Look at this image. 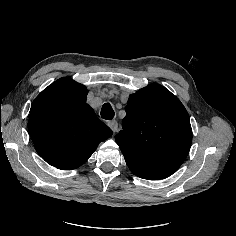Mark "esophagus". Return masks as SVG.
Here are the masks:
<instances>
[{"label":"esophagus","instance_id":"obj_1","mask_svg":"<svg viewBox=\"0 0 236 236\" xmlns=\"http://www.w3.org/2000/svg\"><path fill=\"white\" fill-rule=\"evenodd\" d=\"M108 126L112 129L113 132H116L118 129V123L116 120L109 121Z\"/></svg>","mask_w":236,"mask_h":236}]
</instances>
